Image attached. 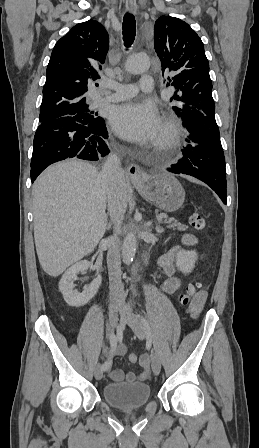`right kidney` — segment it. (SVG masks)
Segmentation results:
<instances>
[{
    "mask_svg": "<svg viewBox=\"0 0 259 448\" xmlns=\"http://www.w3.org/2000/svg\"><path fill=\"white\" fill-rule=\"evenodd\" d=\"M88 268H91L90 262H88V260H82V262H77V264L71 266V268L63 274L59 282V290L69 306H75V308L85 306V304H88L89 300H92L95 294H97L98 288L102 282L101 276H97L88 288H84L82 294H79L77 290H74L75 284H73V282L75 278H77L80 272H85Z\"/></svg>",
    "mask_w": 259,
    "mask_h": 448,
    "instance_id": "right-kidney-1",
    "label": "right kidney"
}]
</instances>
